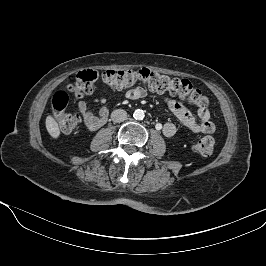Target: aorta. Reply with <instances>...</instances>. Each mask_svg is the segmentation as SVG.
Masks as SVG:
<instances>
[{"label": "aorta", "mask_w": 266, "mask_h": 266, "mask_svg": "<svg viewBox=\"0 0 266 266\" xmlns=\"http://www.w3.org/2000/svg\"><path fill=\"white\" fill-rule=\"evenodd\" d=\"M133 117L136 120H142L145 117L144 111L141 110V109L135 110L134 113H133Z\"/></svg>", "instance_id": "1"}]
</instances>
